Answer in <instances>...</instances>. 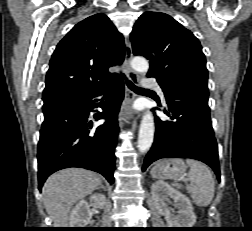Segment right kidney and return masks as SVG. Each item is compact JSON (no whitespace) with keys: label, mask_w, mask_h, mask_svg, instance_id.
<instances>
[{"label":"right kidney","mask_w":252,"mask_h":231,"mask_svg":"<svg viewBox=\"0 0 252 231\" xmlns=\"http://www.w3.org/2000/svg\"><path fill=\"white\" fill-rule=\"evenodd\" d=\"M90 201L95 206L103 209L106 206V197L103 194H93ZM92 218L90 205L86 200H81L72 210L69 218V224L72 228H85Z\"/></svg>","instance_id":"ca27d5eb"}]
</instances>
